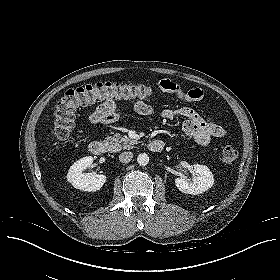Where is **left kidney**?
Returning <instances> with one entry per match:
<instances>
[{
	"mask_svg": "<svg viewBox=\"0 0 280 280\" xmlns=\"http://www.w3.org/2000/svg\"><path fill=\"white\" fill-rule=\"evenodd\" d=\"M193 168L197 173V176H195L192 181H187L183 178H176L175 184L183 193L193 195L201 194L213 186V174L207 166L202 164H194Z\"/></svg>",
	"mask_w": 280,
	"mask_h": 280,
	"instance_id": "5707ae66",
	"label": "left kidney"
}]
</instances>
